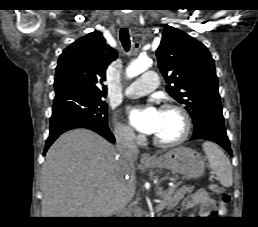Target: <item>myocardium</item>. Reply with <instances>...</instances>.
I'll return each mask as SVG.
<instances>
[{"mask_svg": "<svg viewBox=\"0 0 258 227\" xmlns=\"http://www.w3.org/2000/svg\"><path fill=\"white\" fill-rule=\"evenodd\" d=\"M161 111L177 112L180 115L182 122H183V131L179 137H177L174 140H170V141L162 140V139L157 138L156 136H153V138H152L153 143L155 145H157L159 147H163V148H170V147H175L177 145H180L189 137L190 132H191L192 123H191V118H190L188 111L185 108H183L182 106H179L176 104H164L161 107Z\"/></svg>", "mask_w": 258, "mask_h": 227, "instance_id": "myocardium-1", "label": "myocardium"}]
</instances>
